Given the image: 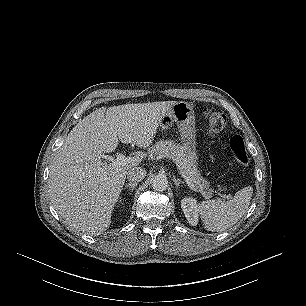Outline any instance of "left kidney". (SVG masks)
<instances>
[{"instance_id":"5707ae66","label":"left kidney","mask_w":306,"mask_h":306,"mask_svg":"<svg viewBox=\"0 0 306 306\" xmlns=\"http://www.w3.org/2000/svg\"><path fill=\"white\" fill-rule=\"evenodd\" d=\"M181 208L188 222L196 226L198 224V205L192 197H185L181 200Z\"/></svg>"}]
</instances>
